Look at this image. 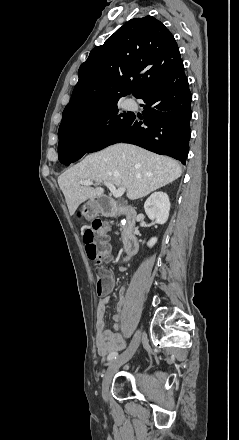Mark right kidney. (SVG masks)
<instances>
[{
	"mask_svg": "<svg viewBox=\"0 0 239 440\" xmlns=\"http://www.w3.org/2000/svg\"><path fill=\"white\" fill-rule=\"evenodd\" d=\"M144 210L149 218L156 224H165L170 212V202L165 192H154L144 204ZM157 238H151L148 242L149 248L156 244Z\"/></svg>",
	"mask_w": 239,
	"mask_h": 440,
	"instance_id": "1",
	"label": "right kidney"
}]
</instances>
